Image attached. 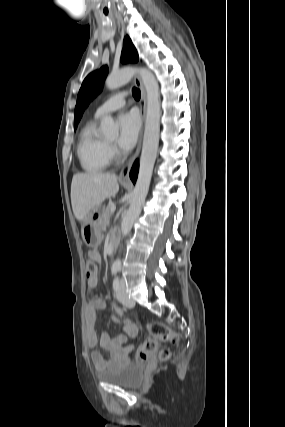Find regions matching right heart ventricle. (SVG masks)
I'll use <instances>...</instances> for the list:
<instances>
[{"label":"right heart ventricle","instance_id":"obj_1","mask_svg":"<svg viewBox=\"0 0 285 427\" xmlns=\"http://www.w3.org/2000/svg\"><path fill=\"white\" fill-rule=\"evenodd\" d=\"M81 168L87 173H99L107 168L111 155L108 142L97 132L93 119L82 128L76 148Z\"/></svg>","mask_w":285,"mask_h":427}]
</instances>
